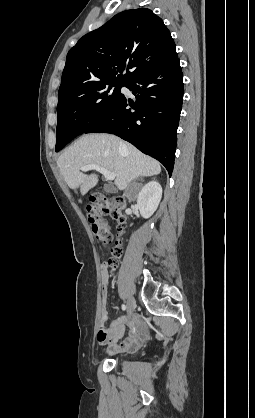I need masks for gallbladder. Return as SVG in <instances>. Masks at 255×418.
<instances>
[{"instance_id":"1","label":"gallbladder","mask_w":255,"mask_h":418,"mask_svg":"<svg viewBox=\"0 0 255 418\" xmlns=\"http://www.w3.org/2000/svg\"><path fill=\"white\" fill-rule=\"evenodd\" d=\"M104 190H105L106 192H111V193H113V192L115 191V188H114V187H112V186H108V185H106V186H104Z\"/></svg>"}]
</instances>
